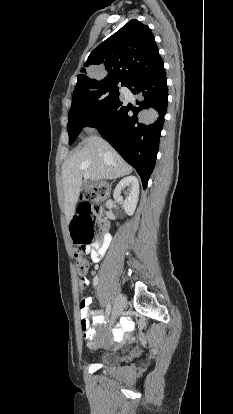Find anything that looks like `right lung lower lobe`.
<instances>
[{
  "label": "right lung lower lobe",
  "mask_w": 233,
  "mask_h": 414,
  "mask_svg": "<svg viewBox=\"0 0 233 414\" xmlns=\"http://www.w3.org/2000/svg\"><path fill=\"white\" fill-rule=\"evenodd\" d=\"M126 87L139 95L137 106L119 99L86 126L97 128L101 136L136 169L145 189L155 166L167 111L165 70L135 78Z\"/></svg>",
  "instance_id": "obj_1"
}]
</instances>
